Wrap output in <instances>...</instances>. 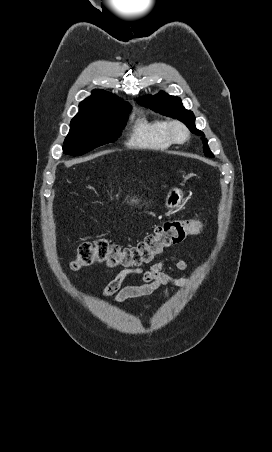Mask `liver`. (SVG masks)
<instances>
[{
    "instance_id": "obj_1",
    "label": "liver",
    "mask_w": 272,
    "mask_h": 452,
    "mask_svg": "<svg viewBox=\"0 0 272 452\" xmlns=\"http://www.w3.org/2000/svg\"><path fill=\"white\" fill-rule=\"evenodd\" d=\"M132 202H137V201L133 199Z\"/></svg>"
}]
</instances>
